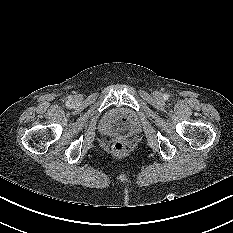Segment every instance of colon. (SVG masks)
Wrapping results in <instances>:
<instances>
[{
	"label": "colon",
	"mask_w": 233,
	"mask_h": 233,
	"mask_svg": "<svg viewBox=\"0 0 233 233\" xmlns=\"http://www.w3.org/2000/svg\"><path fill=\"white\" fill-rule=\"evenodd\" d=\"M112 151L116 155H122L125 152V145L122 142H115L112 145Z\"/></svg>",
	"instance_id": "colon-1"
}]
</instances>
